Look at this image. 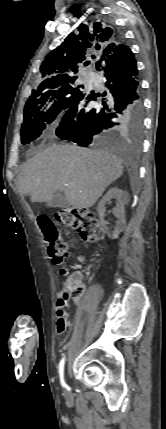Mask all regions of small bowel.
I'll list each match as a JSON object with an SVG mask.
<instances>
[{"instance_id": "obj_1", "label": "small bowel", "mask_w": 166, "mask_h": 429, "mask_svg": "<svg viewBox=\"0 0 166 429\" xmlns=\"http://www.w3.org/2000/svg\"><path fill=\"white\" fill-rule=\"evenodd\" d=\"M60 274L62 276L68 275V270L66 268H62L60 270ZM69 300L66 293H62L58 296V299L56 301V315H57V321H56V330L58 334H63L64 331L67 329V327L70 325L69 320Z\"/></svg>"}]
</instances>
